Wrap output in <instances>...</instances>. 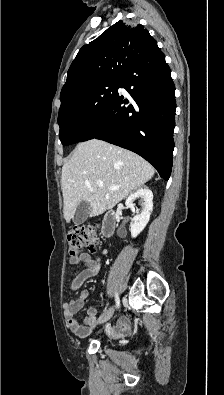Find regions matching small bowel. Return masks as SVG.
<instances>
[{
	"label": "small bowel",
	"instance_id": "small-bowel-1",
	"mask_svg": "<svg viewBox=\"0 0 224 395\" xmlns=\"http://www.w3.org/2000/svg\"><path fill=\"white\" fill-rule=\"evenodd\" d=\"M71 265L83 264L85 267L80 273L76 275L71 283V289L78 291L82 284L87 280L97 275L100 269V259L94 258L89 253H81L78 256L71 257L69 260ZM89 297V291L84 289L81 290L79 296L73 300L64 302V316L67 322L68 328L77 336L85 337L92 329L96 328V307H90L88 316L84 320V324H81L77 319L76 315L83 309L86 300ZM107 331L112 336H123L129 332V326L125 318L119 319V321L112 326L107 327Z\"/></svg>",
	"mask_w": 224,
	"mask_h": 395
}]
</instances>
